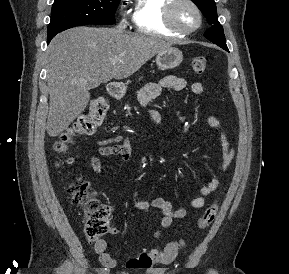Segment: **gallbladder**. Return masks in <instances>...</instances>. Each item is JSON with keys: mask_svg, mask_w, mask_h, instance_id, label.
<instances>
[{"mask_svg": "<svg viewBox=\"0 0 289 274\" xmlns=\"http://www.w3.org/2000/svg\"><path fill=\"white\" fill-rule=\"evenodd\" d=\"M98 85H99V83H97V82L92 83V84L90 85V89H94V88L98 87Z\"/></svg>", "mask_w": 289, "mask_h": 274, "instance_id": "gallbladder-1", "label": "gallbladder"}]
</instances>
